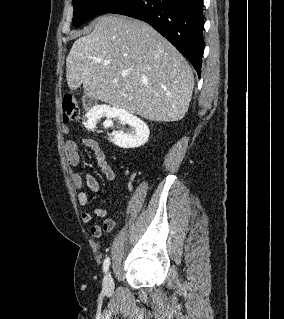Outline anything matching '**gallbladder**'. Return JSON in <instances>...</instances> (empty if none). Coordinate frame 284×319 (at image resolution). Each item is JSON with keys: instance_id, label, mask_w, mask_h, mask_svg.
Returning a JSON list of instances; mask_svg holds the SVG:
<instances>
[{"instance_id": "1", "label": "gallbladder", "mask_w": 284, "mask_h": 319, "mask_svg": "<svg viewBox=\"0 0 284 319\" xmlns=\"http://www.w3.org/2000/svg\"><path fill=\"white\" fill-rule=\"evenodd\" d=\"M96 103H97V99L92 98V97H89V96H87V97H85V98L83 99V104H84V106H85L86 108H91V107H93Z\"/></svg>"}]
</instances>
